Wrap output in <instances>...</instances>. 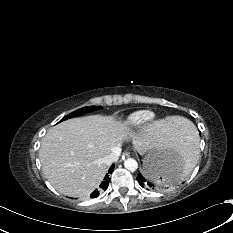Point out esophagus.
I'll use <instances>...</instances> for the list:
<instances>
[{"label":"esophagus","mask_w":233,"mask_h":233,"mask_svg":"<svg viewBox=\"0 0 233 233\" xmlns=\"http://www.w3.org/2000/svg\"><path fill=\"white\" fill-rule=\"evenodd\" d=\"M123 156H124V157H129V156H130V153H129V152H125V153L123 154Z\"/></svg>","instance_id":"34e87169"}]
</instances>
